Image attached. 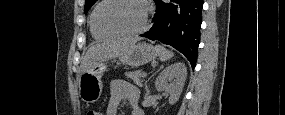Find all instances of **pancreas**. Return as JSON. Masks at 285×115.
<instances>
[{
  "mask_svg": "<svg viewBox=\"0 0 285 115\" xmlns=\"http://www.w3.org/2000/svg\"><path fill=\"white\" fill-rule=\"evenodd\" d=\"M125 76L131 80H133V82L135 84H137L138 86H142L143 85V80L141 79L142 77V72L140 70L135 71V72H126Z\"/></svg>",
  "mask_w": 285,
  "mask_h": 115,
  "instance_id": "pancreas-1",
  "label": "pancreas"
}]
</instances>
